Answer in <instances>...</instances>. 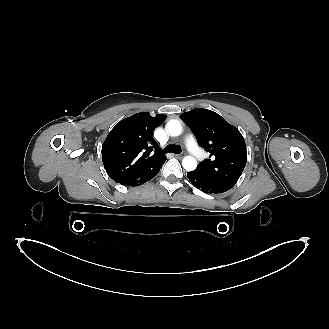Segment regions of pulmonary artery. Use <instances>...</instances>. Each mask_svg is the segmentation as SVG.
I'll use <instances>...</instances> for the list:
<instances>
[{
    "mask_svg": "<svg viewBox=\"0 0 329 329\" xmlns=\"http://www.w3.org/2000/svg\"><path fill=\"white\" fill-rule=\"evenodd\" d=\"M185 143L189 152L198 160L203 159V151L198 147L193 135L189 134L185 138Z\"/></svg>",
    "mask_w": 329,
    "mask_h": 329,
    "instance_id": "obj_1",
    "label": "pulmonary artery"
}]
</instances>
